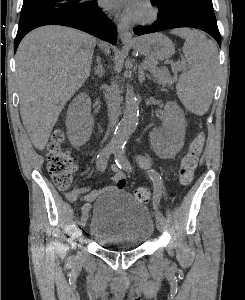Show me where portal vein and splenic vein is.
<instances>
[{
    "mask_svg": "<svg viewBox=\"0 0 245 300\" xmlns=\"http://www.w3.org/2000/svg\"><path fill=\"white\" fill-rule=\"evenodd\" d=\"M143 65L149 68L150 63H148V62H143ZM178 67L180 68V64H179V63H178Z\"/></svg>",
    "mask_w": 245,
    "mask_h": 300,
    "instance_id": "obj_1",
    "label": "portal vein and splenic vein"
}]
</instances>
